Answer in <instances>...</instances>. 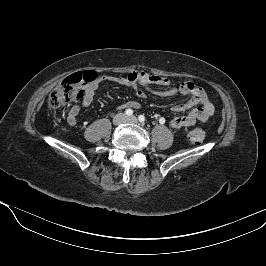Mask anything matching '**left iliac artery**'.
I'll use <instances>...</instances> for the list:
<instances>
[{
  "instance_id": "obj_1",
  "label": "left iliac artery",
  "mask_w": 266,
  "mask_h": 266,
  "mask_svg": "<svg viewBox=\"0 0 266 266\" xmlns=\"http://www.w3.org/2000/svg\"><path fill=\"white\" fill-rule=\"evenodd\" d=\"M138 119H139V121L142 122V123L145 121V117H144V115H139Z\"/></svg>"
}]
</instances>
